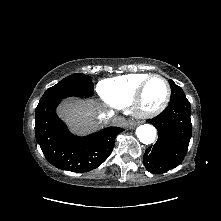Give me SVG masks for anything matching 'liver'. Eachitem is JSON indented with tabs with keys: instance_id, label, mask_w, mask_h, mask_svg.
Instances as JSON below:
<instances>
[{
	"instance_id": "1",
	"label": "liver",
	"mask_w": 221,
	"mask_h": 221,
	"mask_svg": "<svg viewBox=\"0 0 221 221\" xmlns=\"http://www.w3.org/2000/svg\"><path fill=\"white\" fill-rule=\"evenodd\" d=\"M101 111L93 100H67L58 108V115L70 129L79 134L95 131L99 127L97 114Z\"/></svg>"
}]
</instances>
